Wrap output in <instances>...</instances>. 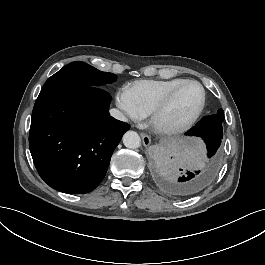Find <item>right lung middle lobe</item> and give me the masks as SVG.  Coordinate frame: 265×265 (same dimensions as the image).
Instances as JSON below:
<instances>
[{
  "mask_svg": "<svg viewBox=\"0 0 265 265\" xmlns=\"http://www.w3.org/2000/svg\"><path fill=\"white\" fill-rule=\"evenodd\" d=\"M113 73L101 72L84 62H72L53 76L43 86L48 88L100 87L116 80Z\"/></svg>",
  "mask_w": 265,
  "mask_h": 265,
  "instance_id": "dd1d6c3e",
  "label": "right lung middle lobe"
}]
</instances>
